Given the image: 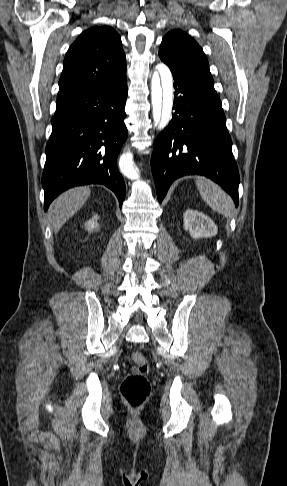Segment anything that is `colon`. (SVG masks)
I'll return each mask as SVG.
<instances>
[{
    "label": "colon",
    "instance_id": "colon-1",
    "mask_svg": "<svg viewBox=\"0 0 287 486\" xmlns=\"http://www.w3.org/2000/svg\"><path fill=\"white\" fill-rule=\"evenodd\" d=\"M133 370L123 379L120 387L124 401L132 408L141 407L151 394V383L146 374L147 359L139 352L131 354Z\"/></svg>",
    "mask_w": 287,
    "mask_h": 486
}]
</instances>
